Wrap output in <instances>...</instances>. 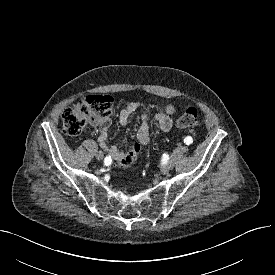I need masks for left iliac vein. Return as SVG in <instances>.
<instances>
[{"instance_id": "obj_1", "label": "left iliac vein", "mask_w": 275, "mask_h": 275, "mask_svg": "<svg viewBox=\"0 0 275 275\" xmlns=\"http://www.w3.org/2000/svg\"><path fill=\"white\" fill-rule=\"evenodd\" d=\"M173 166H174V163H173V161H171V160H169V161L163 163V165H162V167H161L162 172H163V173H167L170 169L173 168Z\"/></svg>"}]
</instances>
